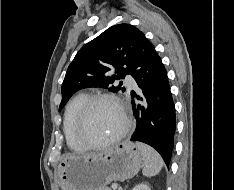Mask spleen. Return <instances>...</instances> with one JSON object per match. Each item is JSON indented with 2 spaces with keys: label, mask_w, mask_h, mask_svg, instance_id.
Masks as SVG:
<instances>
[{
  "label": "spleen",
  "mask_w": 234,
  "mask_h": 190,
  "mask_svg": "<svg viewBox=\"0 0 234 190\" xmlns=\"http://www.w3.org/2000/svg\"><path fill=\"white\" fill-rule=\"evenodd\" d=\"M136 146L141 151L144 161L143 175L146 177L157 175L164 165L161 156L152 147L144 143L136 142Z\"/></svg>",
  "instance_id": "3e777b00"
}]
</instances>
